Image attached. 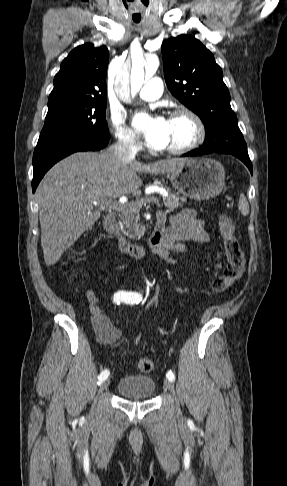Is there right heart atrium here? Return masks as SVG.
I'll list each match as a JSON object with an SVG mask.
<instances>
[{"label": "right heart atrium", "instance_id": "d8ad5b80", "mask_svg": "<svg viewBox=\"0 0 287 486\" xmlns=\"http://www.w3.org/2000/svg\"><path fill=\"white\" fill-rule=\"evenodd\" d=\"M109 127L116 142L121 147L130 151L139 149V142L121 118L111 115L109 118Z\"/></svg>", "mask_w": 287, "mask_h": 486}]
</instances>
